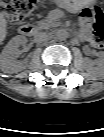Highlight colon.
<instances>
[{
  "mask_svg": "<svg viewBox=\"0 0 104 137\" xmlns=\"http://www.w3.org/2000/svg\"><path fill=\"white\" fill-rule=\"evenodd\" d=\"M35 8V0H2V12L13 22L26 21ZM84 22L92 26L91 42L101 47L104 42V14L97 7L85 8L81 13Z\"/></svg>",
  "mask_w": 104,
  "mask_h": 137,
  "instance_id": "colon-1",
  "label": "colon"
}]
</instances>
